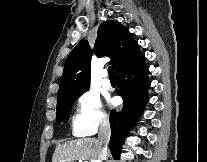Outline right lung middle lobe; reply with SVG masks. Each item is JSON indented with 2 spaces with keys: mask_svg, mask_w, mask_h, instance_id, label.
<instances>
[{
  "mask_svg": "<svg viewBox=\"0 0 207 162\" xmlns=\"http://www.w3.org/2000/svg\"><path fill=\"white\" fill-rule=\"evenodd\" d=\"M79 96H68L58 99L56 120L59 124L68 120L70 109Z\"/></svg>",
  "mask_w": 207,
  "mask_h": 162,
  "instance_id": "right-lung-middle-lobe-1",
  "label": "right lung middle lobe"
}]
</instances>
